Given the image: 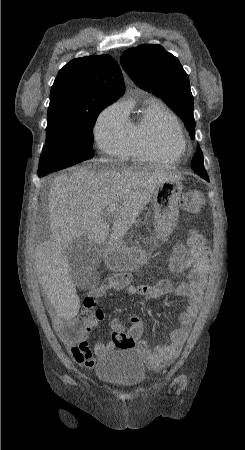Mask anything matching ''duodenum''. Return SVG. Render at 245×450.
Returning <instances> with one entry per match:
<instances>
[{"label": "duodenum", "mask_w": 245, "mask_h": 450, "mask_svg": "<svg viewBox=\"0 0 245 450\" xmlns=\"http://www.w3.org/2000/svg\"><path fill=\"white\" fill-rule=\"evenodd\" d=\"M112 247H116V244H115V243H112Z\"/></svg>", "instance_id": "obj_1"}]
</instances>
